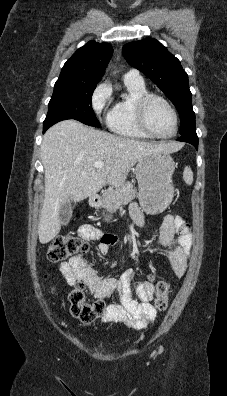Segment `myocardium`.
<instances>
[{
    "instance_id": "1",
    "label": "myocardium",
    "mask_w": 227,
    "mask_h": 396,
    "mask_svg": "<svg viewBox=\"0 0 227 396\" xmlns=\"http://www.w3.org/2000/svg\"><path fill=\"white\" fill-rule=\"evenodd\" d=\"M160 100L162 101L170 110V112L173 115L174 118V131L169 134V135H161L158 134L156 132H154L148 122H147V108L149 103L154 100ZM135 114H136V120L137 123L139 125V127L149 136L154 137V138H160V139H169L174 137L179 129V117H178V113L175 109V107L173 106V104L163 95L157 94V93H146L145 95H143L142 97H140L135 104Z\"/></svg>"
}]
</instances>
